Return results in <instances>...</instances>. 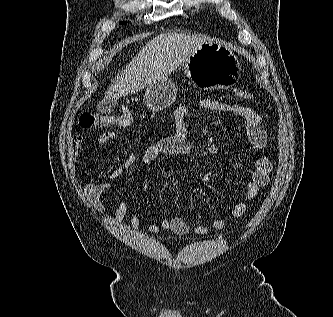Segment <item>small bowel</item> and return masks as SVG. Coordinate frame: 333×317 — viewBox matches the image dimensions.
Here are the masks:
<instances>
[{
    "label": "small bowel",
    "mask_w": 333,
    "mask_h": 317,
    "mask_svg": "<svg viewBox=\"0 0 333 317\" xmlns=\"http://www.w3.org/2000/svg\"><path fill=\"white\" fill-rule=\"evenodd\" d=\"M199 108L214 112H227L239 117L245 123V131L249 142L258 150L266 147L268 142L267 132L262 124L260 114L254 109L244 107L237 104H227L212 99H203L198 102ZM188 116V108L185 105L178 106L174 111L175 134L169 137L162 138L155 143L149 145L143 154L138 157L135 153H130L119 165H117L110 173L111 180L117 179L126 169L133 166L138 159L144 165H150L164 156L172 155H189L192 152V147L189 141V134L186 125ZM116 135L112 132H104L97 138L98 146L107 144ZM84 143V137L80 134L73 135L68 143V159L71 164L76 162L79 155V149ZM272 170L271 161L264 156L257 158L253 163V168L250 174L249 181L246 185V191L238 199L237 203L231 211L233 218H240L247 210L250 202L256 197L261 187L268 184L270 180V172ZM112 190L111 183H96L89 182L84 186V194L98 211L102 212L104 206L102 204V196ZM128 204L125 200L120 199L115 210L114 219L117 224H121L128 214ZM131 228L136 230L139 227V220L135 213L131 215ZM215 229L221 230L226 226V221L223 218H216L212 222ZM148 232L157 233L160 230L172 231L178 235H187L194 232L198 235H205L209 229L205 225L190 226L181 216L162 219L158 223H151L147 227Z\"/></svg>",
    "instance_id": "1"
}]
</instances>
